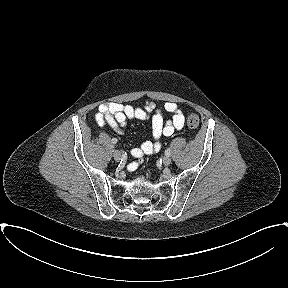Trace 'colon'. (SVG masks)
I'll use <instances>...</instances> for the list:
<instances>
[{
    "instance_id": "obj_1",
    "label": "colon",
    "mask_w": 288,
    "mask_h": 288,
    "mask_svg": "<svg viewBox=\"0 0 288 288\" xmlns=\"http://www.w3.org/2000/svg\"><path fill=\"white\" fill-rule=\"evenodd\" d=\"M199 117L195 114H191L188 118H187V125L189 127V129H191L192 131L197 130V128L199 127Z\"/></svg>"
}]
</instances>
